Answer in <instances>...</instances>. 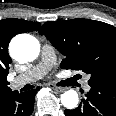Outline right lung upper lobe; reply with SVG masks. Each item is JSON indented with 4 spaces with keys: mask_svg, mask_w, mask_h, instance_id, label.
Masks as SVG:
<instances>
[{
    "mask_svg": "<svg viewBox=\"0 0 116 116\" xmlns=\"http://www.w3.org/2000/svg\"><path fill=\"white\" fill-rule=\"evenodd\" d=\"M40 26V23L17 18L0 21V97L11 91L6 78L9 64L12 62L8 54V44L11 38L19 33L36 31Z\"/></svg>",
    "mask_w": 116,
    "mask_h": 116,
    "instance_id": "cb5924a9",
    "label": "right lung upper lobe"
}]
</instances>
